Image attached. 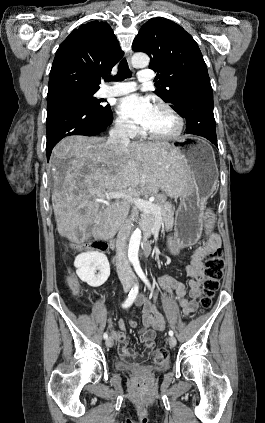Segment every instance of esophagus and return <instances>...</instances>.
Instances as JSON below:
<instances>
[{"instance_id":"1","label":"esophagus","mask_w":265,"mask_h":423,"mask_svg":"<svg viewBox=\"0 0 265 423\" xmlns=\"http://www.w3.org/2000/svg\"><path fill=\"white\" fill-rule=\"evenodd\" d=\"M131 57H132V51H128L126 53V59H127L129 64H131Z\"/></svg>"}]
</instances>
